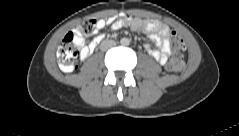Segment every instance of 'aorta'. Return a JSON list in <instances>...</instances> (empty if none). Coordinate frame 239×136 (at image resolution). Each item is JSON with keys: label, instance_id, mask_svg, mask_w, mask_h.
I'll return each instance as SVG.
<instances>
[{"label": "aorta", "instance_id": "obj_1", "mask_svg": "<svg viewBox=\"0 0 239 136\" xmlns=\"http://www.w3.org/2000/svg\"><path fill=\"white\" fill-rule=\"evenodd\" d=\"M120 42H121L122 45H125V46H126V45H129V43H130L129 39H127V38L121 39Z\"/></svg>", "mask_w": 239, "mask_h": 136}]
</instances>
